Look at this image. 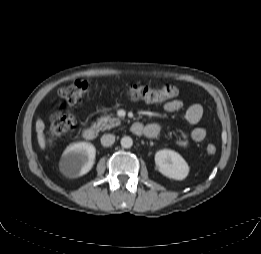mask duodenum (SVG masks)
I'll use <instances>...</instances> for the list:
<instances>
[{"label":"duodenum","mask_w":261,"mask_h":254,"mask_svg":"<svg viewBox=\"0 0 261 254\" xmlns=\"http://www.w3.org/2000/svg\"><path fill=\"white\" fill-rule=\"evenodd\" d=\"M132 130L135 134H138V135H141L143 132V128L140 123H134L132 126ZM96 136H97V131L95 128H93V127L84 128L83 137L86 140H89V141L94 140L96 138Z\"/></svg>","instance_id":"410a0bca"}]
</instances>
